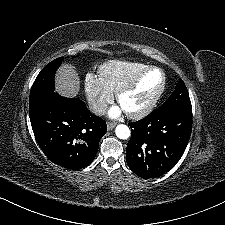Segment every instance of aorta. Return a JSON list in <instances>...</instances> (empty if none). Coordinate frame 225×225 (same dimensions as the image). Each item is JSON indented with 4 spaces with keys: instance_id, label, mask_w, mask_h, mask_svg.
I'll return each mask as SVG.
<instances>
[{
    "instance_id": "1",
    "label": "aorta",
    "mask_w": 225,
    "mask_h": 225,
    "mask_svg": "<svg viewBox=\"0 0 225 225\" xmlns=\"http://www.w3.org/2000/svg\"><path fill=\"white\" fill-rule=\"evenodd\" d=\"M115 134L119 139L125 140L130 137V129L127 125L120 124L115 129Z\"/></svg>"
}]
</instances>
